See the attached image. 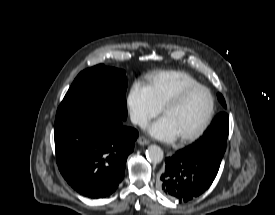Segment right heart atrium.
<instances>
[{"mask_svg":"<svg viewBox=\"0 0 275 215\" xmlns=\"http://www.w3.org/2000/svg\"><path fill=\"white\" fill-rule=\"evenodd\" d=\"M127 104L132 122L139 126H145L161 110L147 87L140 82H135L130 88Z\"/></svg>","mask_w":275,"mask_h":215,"instance_id":"right-heart-atrium-1","label":"right heart atrium"}]
</instances>
